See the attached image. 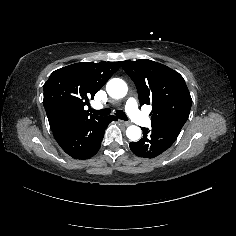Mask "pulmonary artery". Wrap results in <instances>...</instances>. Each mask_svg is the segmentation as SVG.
Listing matches in <instances>:
<instances>
[{
	"label": "pulmonary artery",
	"mask_w": 236,
	"mask_h": 236,
	"mask_svg": "<svg viewBox=\"0 0 236 236\" xmlns=\"http://www.w3.org/2000/svg\"><path fill=\"white\" fill-rule=\"evenodd\" d=\"M125 111L127 114H131V117L135 120L138 125H150L151 119L146 118L143 112L138 109V104L135 99H128L125 102Z\"/></svg>",
	"instance_id": "e3ab8cb5"
}]
</instances>
